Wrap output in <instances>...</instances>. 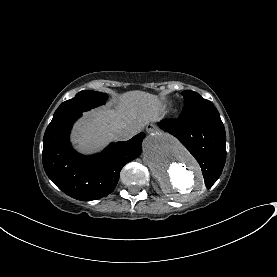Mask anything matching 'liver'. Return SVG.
I'll return each mask as SVG.
<instances>
[{"mask_svg":"<svg viewBox=\"0 0 277 277\" xmlns=\"http://www.w3.org/2000/svg\"><path fill=\"white\" fill-rule=\"evenodd\" d=\"M161 110L157 96L130 91L120 96L116 109L99 108L85 113L71 134L75 148L82 153H93L113 141V133L124 127L142 129L150 119L156 120Z\"/></svg>","mask_w":277,"mask_h":277,"instance_id":"liver-1","label":"liver"}]
</instances>
